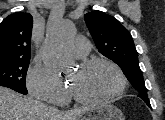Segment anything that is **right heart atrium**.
<instances>
[{"instance_id": "d8ad5b80", "label": "right heart atrium", "mask_w": 165, "mask_h": 120, "mask_svg": "<svg viewBox=\"0 0 165 120\" xmlns=\"http://www.w3.org/2000/svg\"><path fill=\"white\" fill-rule=\"evenodd\" d=\"M27 88L36 99L62 104L68 99V90L44 67L34 65L27 75Z\"/></svg>"}]
</instances>
